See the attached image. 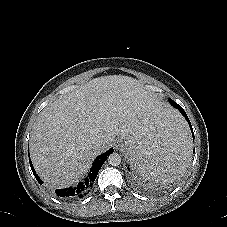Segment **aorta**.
Here are the masks:
<instances>
[{"instance_id":"aorta-1","label":"aorta","mask_w":227,"mask_h":227,"mask_svg":"<svg viewBox=\"0 0 227 227\" xmlns=\"http://www.w3.org/2000/svg\"><path fill=\"white\" fill-rule=\"evenodd\" d=\"M108 163L112 166H118L121 163V156L118 153H112L108 157Z\"/></svg>"}]
</instances>
